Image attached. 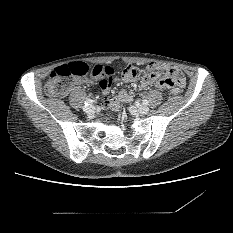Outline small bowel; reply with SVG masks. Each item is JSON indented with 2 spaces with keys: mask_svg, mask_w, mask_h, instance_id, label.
<instances>
[{
  "mask_svg": "<svg viewBox=\"0 0 233 233\" xmlns=\"http://www.w3.org/2000/svg\"><path fill=\"white\" fill-rule=\"evenodd\" d=\"M165 70L167 76L165 78H159V72ZM117 80L116 71L113 69V73L100 78L99 86L102 93L106 96L111 92L112 83ZM77 83L91 85L93 82L87 78L78 79ZM153 83L156 84L158 89H163L165 86L172 91L181 88L185 85V78L182 72L175 66L162 64L160 62H153L148 65V72L143 76L141 80L142 87H148ZM134 99V94L129 90H122L118 95L112 99H105L104 105L107 107H113L121 102H129Z\"/></svg>",
  "mask_w": 233,
  "mask_h": 233,
  "instance_id": "obj_1",
  "label": "small bowel"
}]
</instances>
